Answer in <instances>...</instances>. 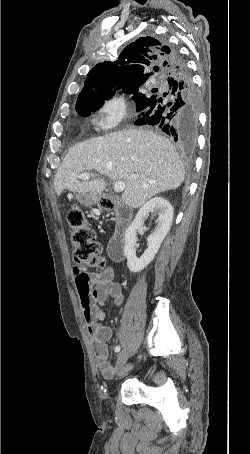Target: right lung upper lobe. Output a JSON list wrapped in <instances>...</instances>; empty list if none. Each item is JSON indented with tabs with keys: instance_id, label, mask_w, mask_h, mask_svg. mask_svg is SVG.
<instances>
[{
	"instance_id": "obj_1",
	"label": "right lung upper lobe",
	"mask_w": 250,
	"mask_h": 454,
	"mask_svg": "<svg viewBox=\"0 0 250 454\" xmlns=\"http://www.w3.org/2000/svg\"><path fill=\"white\" fill-rule=\"evenodd\" d=\"M169 58L170 51L164 42L153 37L139 38L124 48L118 60L104 61L91 69L77 103L108 99L115 86L124 88V92L139 86L154 74L145 73L149 67L154 66L153 70L165 77L171 66Z\"/></svg>"
}]
</instances>
